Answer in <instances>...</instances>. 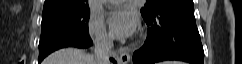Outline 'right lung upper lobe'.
<instances>
[{
	"mask_svg": "<svg viewBox=\"0 0 242 64\" xmlns=\"http://www.w3.org/2000/svg\"><path fill=\"white\" fill-rule=\"evenodd\" d=\"M89 9L88 0H45L43 13Z\"/></svg>",
	"mask_w": 242,
	"mask_h": 64,
	"instance_id": "cb5924a9",
	"label": "right lung upper lobe"
}]
</instances>
